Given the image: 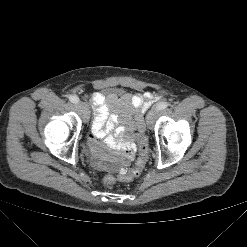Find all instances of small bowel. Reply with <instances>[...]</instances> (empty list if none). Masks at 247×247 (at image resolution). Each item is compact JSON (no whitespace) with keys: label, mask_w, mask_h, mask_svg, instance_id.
<instances>
[{"label":"small bowel","mask_w":247,"mask_h":247,"mask_svg":"<svg viewBox=\"0 0 247 247\" xmlns=\"http://www.w3.org/2000/svg\"><path fill=\"white\" fill-rule=\"evenodd\" d=\"M152 100L148 92L121 95L96 92L90 97L94 120L89 145L98 168L107 172L123 171L131 163L136 152L134 137L142 131L143 113ZM104 144L118 157L108 158L102 149Z\"/></svg>","instance_id":"1"}]
</instances>
